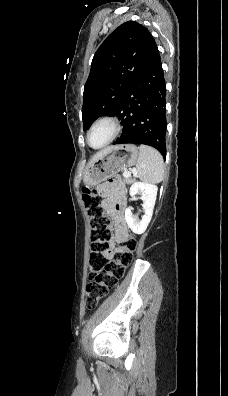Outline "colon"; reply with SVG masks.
Returning a JSON list of instances; mask_svg holds the SVG:
<instances>
[{
	"instance_id": "1",
	"label": "colon",
	"mask_w": 228,
	"mask_h": 396,
	"mask_svg": "<svg viewBox=\"0 0 228 396\" xmlns=\"http://www.w3.org/2000/svg\"><path fill=\"white\" fill-rule=\"evenodd\" d=\"M82 200L91 219L92 228L89 262L94 277L86 287V307L93 309L122 277L125 267L133 259L132 252L137 242L132 236L125 239L116 260L111 261L107 255L111 238L110 221L102 205L100 194L96 188L85 186L82 188Z\"/></svg>"
}]
</instances>
